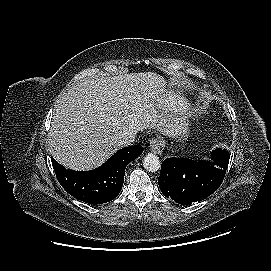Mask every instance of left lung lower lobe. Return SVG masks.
Returning <instances> with one entry per match:
<instances>
[{
    "label": "left lung lower lobe",
    "instance_id": "left-lung-lower-lobe-1",
    "mask_svg": "<svg viewBox=\"0 0 271 271\" xmlns=\"http://www.w3.org/2000/svg\"><path fill=\"white\" fill-rule=\"evenodd\" d=\"M226 168L223 161L168 158L161 165L159 188L175 202L190 205L207 198L219 188Z\"/></svg>",
    "mask_w": 271,
    "mask_h": 271
}]
</instances>
